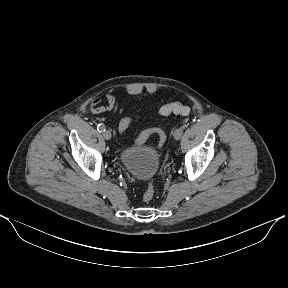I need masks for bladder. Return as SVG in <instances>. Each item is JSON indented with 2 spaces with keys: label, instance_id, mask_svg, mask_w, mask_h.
I'll use <instances>...</instances> for the list:
<instances>
[{
  "label": "bladder",
  "instance_id": "1",
  "mask_svg": "<svg viewBox=\"0 0 288 288\" xmlns=\"http://www.w3.org/2000/svg\"><path fill=\"white\" fill-rule=\"evenodd\" d=\"M119 161L137 180H148L159 169L160 154L151 146L127 147L120 150Z\"/></svg>",
  "mask_w": 288,
  "mask_h": 288
}]
</instances>
